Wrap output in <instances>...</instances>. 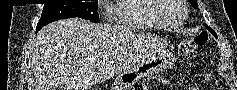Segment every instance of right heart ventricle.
<instances>
[{
    "label": "right heart ventricle",
    "instance_id": "obj_1",
    "mask_svg": "<svg viewBox=\"0 0 237 90\" xmlns=\"http://www.w3.org/2000/svg\"><path fill=\"white\" fill-rule=\"evenodd\" d=\"M153 0H118L108 7V24L114 28L160 29L152 16L150 7H158Z\"/></svg>",
    "mask_w": 237,
    "mask_h": 90
}]
</instances>
